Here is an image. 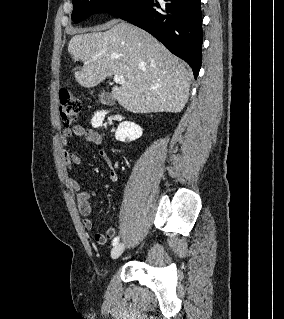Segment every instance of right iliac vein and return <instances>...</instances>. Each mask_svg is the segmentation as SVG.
Listing matches in <instances>:
<instances>
[{"label":"right iliac vein","instance_id":"obj_1","mask_svg":"<svg viewBox=\"0 0 284 319\" xmlns=\"http://www.w3.org/2000/svg\"><path fill=\"white\" fill-rule=\"evenodd\" d=\"M125 249L124 243H119L113 247L111 250V258L112 259H117L121 254L123 253Z\"/></svg>","mask_w":284,"mask_h":319}]
</instances>
